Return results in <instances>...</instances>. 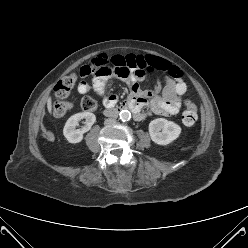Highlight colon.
Here are the masks:
<instances>
[{
	"instance_id": "5ec220e1",
	"label": "colon",
	"mask_w": 248,
	"mask_h": 248,
	"mask_svg": "<svg viewBox=\"0 0 248 248\" xmlns=\"http://www.w3.org/2000/svg\"><path fill=\"white\" fill-rule=\"evenodd\" d=\"M85 75L93 73L114 72L121 77H126L129 73L130 63L124 64L117 56H98L91 59L85 66ZM77 81L75 74L62 77L54 87L56 101L53 106V114L60 118L66 115L71 109V103L68 97ZM80 108L83 111H94L97 108V102L90 97L81 101ZM198 119L197 109L191 100L184 102V111L182 113V122L185 126H193Z\"/></svg>"
}]
</instances>
